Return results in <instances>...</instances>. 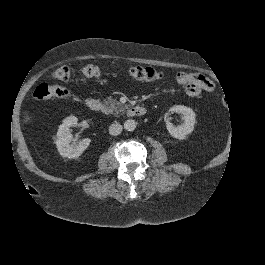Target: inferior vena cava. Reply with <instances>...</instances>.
<instances>
[{
    "instance_id": "inferior-vena-cava-1",
    "label": "inferior vena cava",
    "mask_w": 265,
    "mask_h": 265,
    "mask_svg": "<svg viewBox=\"0 0 265 265\" xmlns=\"http://www.w3.org/2000/svg\"><path fill=\"white\" fill-rule=\"evenodd\" d=\"M121 130H122V127L117 122H114L113 124H111L108 129L109 134L112 136L119 135L121 133Z\"/></svg>"
}]
</instances>
